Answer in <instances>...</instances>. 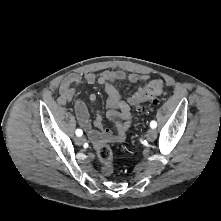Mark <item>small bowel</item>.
Listing matches in <instances>:
<instances>
[{"label": "small bowel", "instance_id": "obj_1", "mask_svg": "<svg viewBox=\"0 0 221 221\" xmlns=\"http://www.w3.org/2000/svg\"><path fill=\"white\" fill-rule=\"evenodd\" d=\"M83 78L88 84L98 83L103 86L107 94V117L115 123V133L103 127V118L100 111H96L94 120V126L97 130H93L86 105L82 101L76 100L74 106L80 126L89 134L91 142L96 148L105 143L122 142L132 124V115L129 103L122 99L114 83L122 80L137 83L146 81L148 76L133 72L126 73L122 70H105L98 74L86 73ZM81 79L78 74H70L62 81L59 89V104L64 105L73 98L75 86L81 82ZM89 99L96 102L97 96L90 94Z\"/></svg>", "mask_w": 221, "mask_h": 221}]
</instances>
